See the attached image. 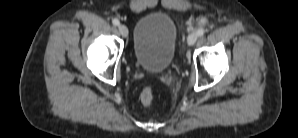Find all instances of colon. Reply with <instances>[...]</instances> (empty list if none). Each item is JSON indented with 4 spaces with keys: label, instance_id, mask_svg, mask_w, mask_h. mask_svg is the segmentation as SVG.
Listing matches in <instances>:
<instances>
[{
    "label": "colon",
    "instance_id": "1",
    "mask_svg": "<svg viewBox=\"0 0 298 138\" xmlns=\"http://www.w3.org/2000/svg\"><path fill=\"white\" fill-rule=\"evenodd\" d=\"M141 101L144 105H150L153 102V92L150 88H145L142 91Z\"/></svg>",
    "mask_w": 298,
    "mask_h": 138
}]
</instances>
